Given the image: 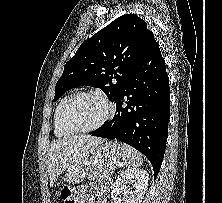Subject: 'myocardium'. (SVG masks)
Segmentation results:
<instances>
[{
  "label": "myocardium",
  "instance_id": "obj_1",
  "mask_svg": "<svg viewBox=\"0 0 222 203\" xmlns=\"http://www.w3.org/2000/svg\"><path fill=\"white\" fill-rule=\"evenodd\" d=\"M84 96H90V97H95L100 99L107 108V112L104 115V117L97 122L96 124L89 126V127H76L74 125H72L69 121H68V110L70 108V106L72 105V103L80 98V97H84ZM115 112V108L113 103L102 93L99 92H95V91H85V92H78L75 93L73 95H71L68 100L65 102L62 110H61V114H60V121L62 126L71 131L72 133H86V132H92L95 131L97 129H99L100 127H102L104 124H106L114 115Z\"/></svg>",
  "mask_w": 222,
  "mask_h": 203
}]
</instances>
